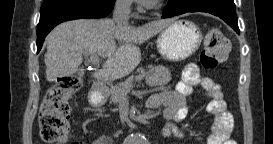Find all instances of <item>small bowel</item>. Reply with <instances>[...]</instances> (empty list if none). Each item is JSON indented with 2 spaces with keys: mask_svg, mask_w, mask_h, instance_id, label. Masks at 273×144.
Here are the masks:
<instances>
[{
  "mask_svg": "<svg viewBox=\"0 0 273 144\" xmlns=\"http://www.w3.org/2000/svg\"><path fill=\"white\" fill-rule=\"evenodd\" d=\"M194 87H200L206 92L209 98L207 111L215 118L207 144H232L230 134L233 127V117L226 109L222 88L212 78L202 75L199 69L193 65L184 69L175 90L162 94L166 100L163 114L168 120L163 131L164 137L176 139L185 137L177 124L187 116V100ZM152 97L146 104L149 110H155L159 107L153 102ZM93 143L111 144L113 141L109 136L101 135Z\"/></svg>",
  "mask_w": 273,
  "mask_h": 144,
  "instance_id": "obj_1",
  "label": "small bowel"
}]
</instances>
